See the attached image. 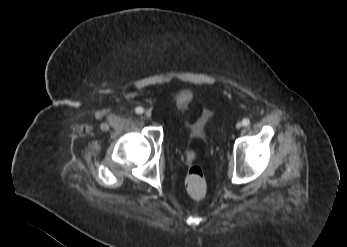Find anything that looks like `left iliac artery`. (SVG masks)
I'll return each mask as SVG.
<instances>
[{
  "instance_id": "44dca946",
  "label": "left iliac artery",
  "mask_w": 347,
  "mask_h": 247,
  "mask_svg": "<svg viewBox=\"0 0 347 247\" xmlns=\"http://www.w3.org/2000/svg\"><path fill=\"white\" fill-rule=\"evenodd\" d=\"M242 124L243 126H248L250 124V120L248 118H244Z\"/></svg>"
}]
</instances>
